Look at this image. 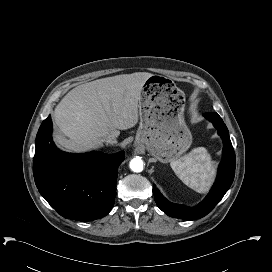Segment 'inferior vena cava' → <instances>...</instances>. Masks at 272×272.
Returning a JSON list of instances; mask_svg holds the SVG:
<instances>
[{"label": "inferior vena cava", "mask_w": 272, "mask_h": 272, "mask_svg": "<svg viewBox=\"0 0 272 272\" xmlns=\"http://www.w3.org/2000/svg\"><path fill=\"white\" fill-rule=\"evenodd\" d=\"M105 142L108 144H116L117 140L116 137L114 135H109L106 137Z\"/></svg>", "instance_id": "602c4592"}]
</instances>
